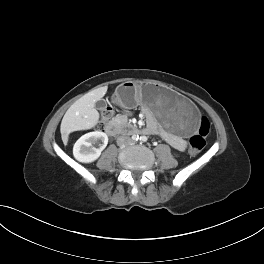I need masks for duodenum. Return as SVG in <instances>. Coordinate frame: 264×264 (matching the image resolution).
I'll return each mask as SVG.
<instances>
[{
	"mask_svg": "<svg viewBox=\"0 0 264 264\" xmlns=\"http://www.w3.org/2000/svg\"><path fill=\"white\" fill-rule=\"evenodd\" d=\"M105 131L110 136H116L118 134H131L137 133L140 130L131 125H123L122 123L110 121L105 126Z\"/></svg>",
	"mask_w": 264,
	"mask_h": 264,
	"instance_id": "410a0bca",
	"label": "duodenum"
}]
</instances>
